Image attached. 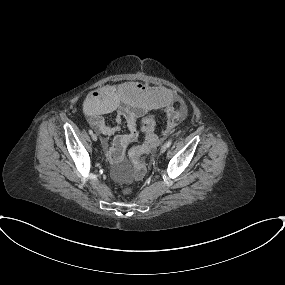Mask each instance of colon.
Masks as SVG:
<instances>
[{"instance_id": "obj_1", "label": "colon", "mask_w": 285, "mask_h": 285, "mask_svg": "<svg viewBox=\"0 0 285 285\" xmlns=\"http://www.w3.org/2000/svg\"><path fill=\"white\" fill-rule=\"evenodd\" d=\"M178 122V116L173 113L171 114L170 119L167 121L168 127H174ZM141 126H142V133L146 139H148L151 144H154L158 140V133H157V124H156V118L153 114H148L144 116L141 120ZM145 150L138 151L134 158L137 161V164L135 165L130 179H139L144 171V166L142 163V158L144 156Z\"/></svg>"}]
</instances>
